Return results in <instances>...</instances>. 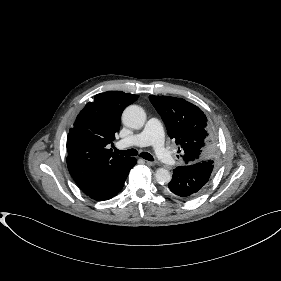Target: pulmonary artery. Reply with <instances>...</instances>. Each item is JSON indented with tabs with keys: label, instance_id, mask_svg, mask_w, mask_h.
<instances>
[{
	"label": "pulmonary artery",
	"instance_id": "pulmonary-artery-1",
	"mask_svg": "<svg viewBox=\"0 0 281 281\" xmlns=\"http://www.w3.org/2000/svg\"><path fill=\"white\" fill-rule=\"evenodd\" d=\"M152 145L157 157L166 165H173L175 158L173 154L165 147L164 133L162 124L157 118H150L144 129L133 136L120 139L116 146L120 149L130 146H148Z\"/></svg>",
	"mask_w": 281,
	"mask_h": 281
}]
</instances>
